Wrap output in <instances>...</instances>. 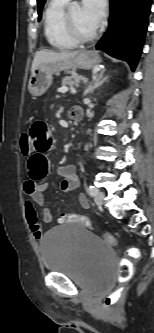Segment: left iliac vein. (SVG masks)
Instances as JSON below:
<instances>
[{"label":"left iliac vein","instance_id":"left-iliac-vein-1","mask_svg":"<svg viewBox=\"0 0 154 333\" xmlns=\"http://www.w3.org/2000/svg\"><path fill=\"white\" fill-rule=\"evenodd\" d=\"M104 193L101 191H98L97 194L95 195L94 201L97 206H101L104 202Z\"/></svg>","mask_w":154,"mask_h":333}]
</instances>
